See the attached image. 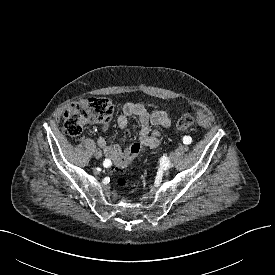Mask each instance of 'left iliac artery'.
Masks as SVG:
<instances>
[{
	"instance_id": "obj_1",
	"label": "left iliac artery",
	"mask_w": 275,
	"mask_h": 275,
	"mask_svg": "<svg viewBox=\"0 0 275 275\" xmlns=\"http://www.w3.org/2000/svg\"><path fill=\"white\" fill-rule=\"evenodd\" d=\"M192 142V138L190 137V136H185L184 138H183V143L184 144H190Z\"/></svg>"
}]
</instances>
